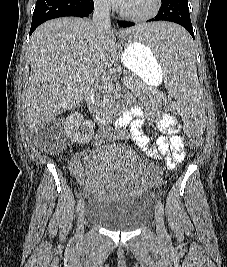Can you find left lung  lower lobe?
<instances>
[{"label": "left lung lower lobe", "instance_id": "left-lung-lower-lobe-1", "mask_svg": "<svg viewBox=\"0 0 227 267\" xmlns=\"http://www.w3.org/2000/svg\"><path fill=\"white\" fill-rule=\"evenodd\" d=\"M154 21H170L178 23L183 26L194 39L187 0H162V5L158 14L149 20V22ZM118 25L121 27H130L135 24L132 22L119 21ZM172 43L176 51L188 49L192 46V42L173 40Z\"/></svg>", "mask_w": 227, "mask_h": 267}]
</instances>
